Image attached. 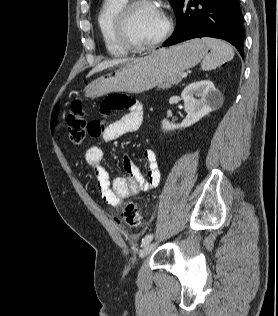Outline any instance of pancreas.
Here are the masks:
<instances>
[{"label":"pancreas","mask_w":278,"mask_h":316,"mask_svg":"<svg viewBox=\"0 0 278 316\" xmlns=\"http://www.w3.org/2000/svg\"><path fill=\"white\" fill-rule=\"evenodd\" d=\"M182 81L181 74H175L169 77L164 81V83L159 84L158 89H167L170 88L172 85H177Z\"/></svg>","instance_id":"pancreas-1"}]
</instances>
